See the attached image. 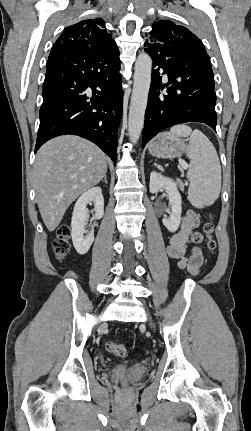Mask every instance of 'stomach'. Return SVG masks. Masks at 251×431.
Here are the masks:
<instances>
[{"mask_svg":"<svg viewBox=\"0 0 251 431\" xmlns=\"http://www.w3.org/2000/svg\"><path fill=\"white\" fill-rule=\"evenodd\" d=\"M188 145L179 136L161 133L149 144V152L158 158H175L187 151Z\"/></svg>","mask_w":251,"mask_h":431,"instance_id":"obj_1","label":"stomach"}]
</instances>
